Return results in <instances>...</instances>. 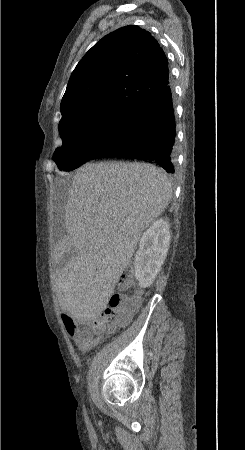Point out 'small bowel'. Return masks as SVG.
<instances>
[{"instance_id":"obj_1","label":"small bowel","mask_w":245,"mask_h":450,"mask_svg":"<svg viewBox=\"0 0 245 450\" xmlns=\"http://www.w3.org/2000/svg\"><path fill=\"white\" fill-rule=\"evenodd\" d=\"M79 282L76 280H73L72 282V288L79 287ZM60 310L62 311V318L65 320L66 318H70L73 321H83V318H79L75 313V308L73 305V298L68 296L63 299ZM75 343L82 349V350H88L91 347L99 344L102 340L101 336L92 337L88 341H81L77 334L71 335Z\"/></svg>"}]
</instances>
